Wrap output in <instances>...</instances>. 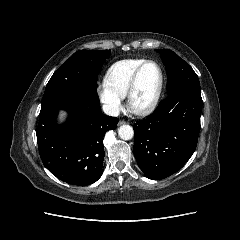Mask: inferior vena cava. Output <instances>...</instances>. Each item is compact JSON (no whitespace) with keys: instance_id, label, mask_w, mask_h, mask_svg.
I'll use <instances>...</instances> for the list:
<instances>
[{"instance_id":"inferior-vena-cava-1","label":"inferior vena cava","mask_w":240,"mask_h":240,"mask_svg":"<svg viewBox=\"0 0 240 240\" xmlns=\"http://www.w3.org/2000/svg\"><path fill=\"white\" fill-rule=\"evenodd\" d=\"M103 111L106 115L116 117L119 115L120 109L115 105L106 104V105H103Z\"/></svg>"}]
</instances>
